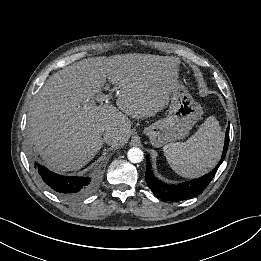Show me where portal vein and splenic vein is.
Instances as JSON below:
<instances>
[{
	"mask_svg": "<svg viewBox=\"0 0 261 261\" xmlns=\"http://www.w3.org/2000/svg\"><path fill=\"white\" fill-rule=\"evenodd\" d=\"M110 97H111L110 95H101V96H96L95 100L97 102L103 103V102H107L110 99Z\"/></svg>",
	"mask_w": 261,
	"mask_h": 261,
	"instance_id": "1",
	"label": "portal vein and splenic vein"
}]
</instances>
